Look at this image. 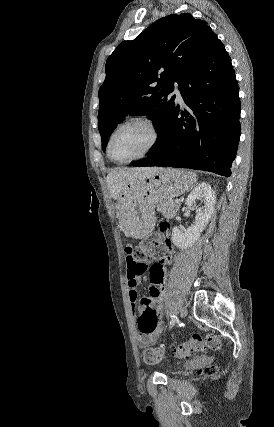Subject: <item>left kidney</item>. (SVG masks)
Wrapping results in <instances>:
<instances>
[{
	"instance_id": "obj_1",
	"label": "left kidney",
	"mask_w": 274,
	"mask_h": 427,
	"mask_svg": "<svg viewBox=\"0 0 274 427\" xmlns=\"http://www.w3.org/2000/svg\"><path fill=\"white\" fill-rule=\"evenodd\" d=\"M201 200L204 206L202 208H196V202ZM216 202L215 192H213L211 186L202 182L198 184L191 194H189L185 204L188 208H194L196 210V219L194 225L187 227L185 231H181L177 225L172 229V241L174 245L180 247V249H187L192 247L195 241H197L201 231L205 229L211 215L214 212V206Z\"/></svg>"
}]
</instances>
